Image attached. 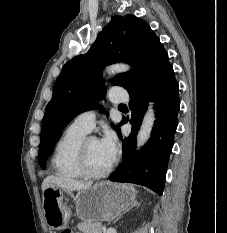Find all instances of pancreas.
Instances as JSON below:
<instances>
[{
  "instance_id": "cf45deb5",
  "label": "pancreas",
  "mask_w": 227,
  "mask_h": 233,
  "mask_svg": "<svg viewBox=\"0 0 227 233\" xmlns=\"http://www.w3.org/2000/svg\"><path fill=\"white\" fill-rule=\"evenodd\" d=\"M77 228L82 233H101L102 226L98 222L84 221L77 224Z\"/></svg>"
}]
</instances>
